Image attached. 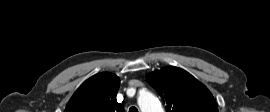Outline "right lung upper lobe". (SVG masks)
Segmentation results:
<instances>
[{"instance_id": "right-lung-upper-lobe-1", "label": "right lung upper lobe", "mask_w": 270, "mask_h": 112, "mask_svg": "<svg viewBox=\"0 0 270 112\" xmlns=\"http://www.w3.org/2000/svg\"><path fill=\"white\" fill-rule=\"evenodd\" d=\"M120 80L109 72L87 79L75 92L65 112H124L116 100Z\"/></svg>"}]
</instances>
